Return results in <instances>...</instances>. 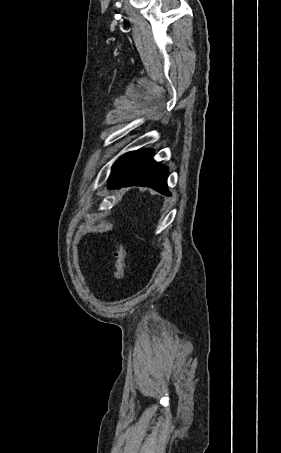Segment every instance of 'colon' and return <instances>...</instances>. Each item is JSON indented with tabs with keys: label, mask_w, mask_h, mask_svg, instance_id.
<instances>
[{
	"label": "colon",
	"mask_w": 281,
	"mask_h": 453,
	"mask_svg": "<svg viewBox=\"0 0 281 453\" xmlns=\"http://www.w3.org/2000/svg\"><path fill=\"white\" fill-rule=\"evenodd\" d=\"M126 265V249L122 243H117L114 248V264L112 271L113 281L116 285L121 283L126 272Z\"/></svg>",
	"instance_id": "5ec220e1"
}]
</instances>
